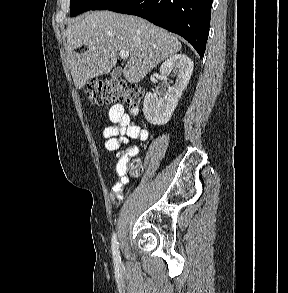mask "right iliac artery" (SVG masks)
I'll return each instance as SVG.
<instances>
[{"instance_id":"obj_1","label":"right iliac artery","mask_w":288,"mask_h":293,"mask_svg":"<svg viewBox=\"0 0 288 293\" xmlns=\"http://www.w3.org/2000/svg\"><path fill=\"white\" fill-rule=\"evenodd\" d=\"M112 252H113V259L116 265L120 264L121 258H120V252H119V246L116 239V234H113L112 237Z\"/></svg>"}]
</instances>
